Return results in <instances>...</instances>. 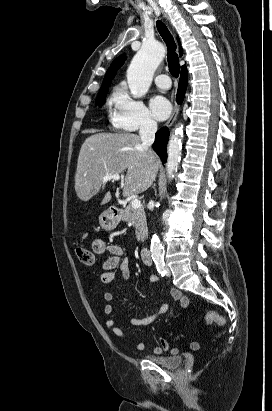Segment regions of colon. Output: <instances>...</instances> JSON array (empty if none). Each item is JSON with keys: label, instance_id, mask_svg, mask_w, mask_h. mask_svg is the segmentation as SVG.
Masks as SVG:
<instances>
[{"label": "colon", "instance_id": "obj_1", "mask_svg": "<svg viewBox=\"0 0 272 411\" xmlns=\"http://www.w3.org/2000/svg\"><path fill=\"white\" fill-rule=\"evenodd\" d=\"M76 255H77L78 260L86 266H92L95 262L94 254L88 248L77 247ZM205 323L206 324L217 323L218 325L222 326L224 325L225 320L219 314L215 312H209L205 316Z\"/></svg>", "mask_w": 272, "mask_h": 411}]
</instances>
